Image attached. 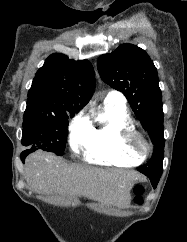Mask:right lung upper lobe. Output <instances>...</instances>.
<instances>
[{"instance_id":"right-lung-upper-lobe-1","label":"right lung upper lobe","mask_w":187,"mask_h":242,"mask_svg":"<svg viewBox=\"0 0 187 242\" xmlns=\"http://www.w3.org/2000/svg\"><path fill=\"white\" fill-rule=\"evenodd\" d=\"M94 87V70L89 61L52 54L34 77L25 112L76 113L89 102Z\"/></svg>"}]
</instances>
